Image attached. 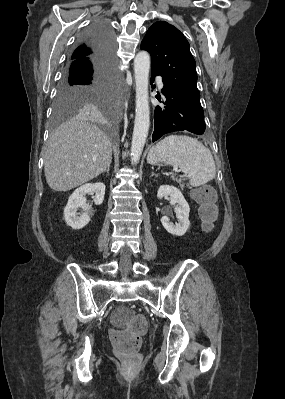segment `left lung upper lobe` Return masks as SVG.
<instances>
[{
  "instance_id": "1",
  "label": "left lung upper lobe",
  "mask_w": 285,
  "mask_h": 399,
  "mask_svg": "<svg viewBox=\"0 0 285 399\" xmlns=\"http://www.w3.org/2000/svg\"><path fill=\"white\" fill-rule=\"evenodd\" d=\"M141 49L151 54L152 70L182 94L202 115L195 60L185 36L173 25L158 21L147 31Z\"/></svg>"
}]
</instances>
